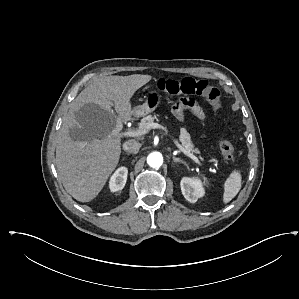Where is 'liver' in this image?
<instances>
[{"label": "liver", "mask_w": 299, "mask_h": 299, "mask_svg": "<svg viewBox=\"0 0 299 299\" xmlns=\"http://www.w3.org/2000/svg\"><path fill=\"white\" fill-rule=\"evenodd\" d=\"M151 79L140 74L100 77L72 102L59 132L56 166L65 190L77 201L93 200L117 167L121 136L112 131L117 120L132 119L130 100Z\"/></svg>", "instance_id": "liver-1"}]
</instances>
